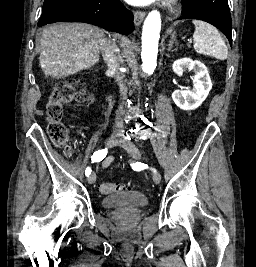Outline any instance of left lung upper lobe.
<instances>
[{
	"label": "left lung upper lobe",
	"mask_w": 256,
	"mask_h": 267,
	"mask_svg": "<svg viewBox=\"0 0 256 267\" xmlns=\"http://www.w3.org/2000/svg\"><path fill=\"white\" fill-rule=\"evenodd\" d=\"M183 4L184 18L199 19L214 25L226 35L232 46V23L227 0H183Z\"/></svg>",
	"instance_id": "1"
}]
</instances>
